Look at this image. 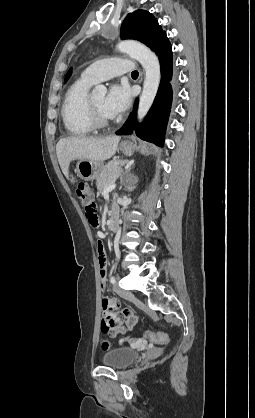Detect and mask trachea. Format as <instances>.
Here are the masks:
<instances>
[{
    "label": "trachea",
    "mask_w": 255,
    "mask_h": 418,
    "mask_svg": "<svg viewBox=\"0 0 255 418\" xmlns=\"http://www.w3.org/2000/svg\"><path fill=\"white\" fill-rule=\"evenodd\" d=\"M131 74H132V75H138L139 73H138V71H137V70H135V71H133Z\"/></svg>",
    "instance_id": "obj_1"
}]
</instances>
